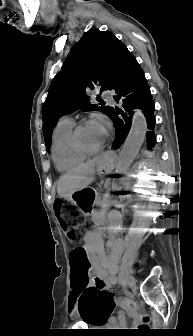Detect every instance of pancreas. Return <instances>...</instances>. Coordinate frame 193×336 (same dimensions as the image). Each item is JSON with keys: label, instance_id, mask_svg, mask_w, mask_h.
<instances>
[{"label": "pancreas", "instance_id": "pancreas-1", "mask_svg": "<svg viewBox=\"0 0 193 336\" xmlns=\"http://www.w3.org/2000/svg\"><path fill=\"white\" fill-rule=\"evenodd\" d=\"M112 197V194L107 191L106 195H99L98 203L95 205V210L103 213L111 209V202L109 199Z\"/></svg>", "mask_w": 193, "mask_h": 336}]
</instances>
